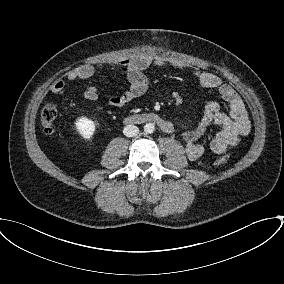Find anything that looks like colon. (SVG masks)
I'll use <instances>...</instances> for the list:
<instances>
[{"instance_id":"1","label":"colon","mask_w":284,"mask_h":284,"mask_svg":"<svg viewBox=\"0 0 284 284\" xmlns=\"http://www.w3.org/2000/svg\"><path fill=\"white\" fill-rule=\"evenodd\" d=\"M57 118V109L53 104H47L43 107L40 114V123L43 131L51 135L55 131V121ZM227 161V157L223 156L217 160V165L224 164Z\"/></svg>"}]
</instances>
